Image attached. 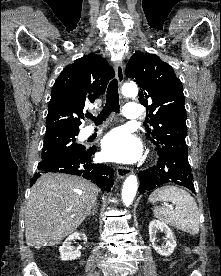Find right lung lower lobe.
<instances>
[{
  "mask_svg": "<svg viewBox=\"0 0 221 276\" xmlns=\"http://www.w3.org/2000/svg\"><path fill=\"white\" fill-rule=\"evenodd\" d=\"M96 150V147H91L85 149L83 152L43 159L38 164L39 172L30 180V186L35 183L42 172H63L82 176L98 184L101 190L109 191L114 183V171L107 165L91 162L92 155Z\"/></svg>",
  "mask_w": 221,
  "mask_h": 276,
  "instance_id": "1",
  "label": "right lung lower lobe"
}]
</instances>
